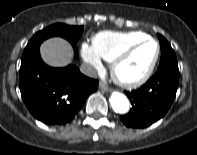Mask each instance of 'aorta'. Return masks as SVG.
Segmentation results:
<instances>
[{
	"label": "aorta",
	"instance_id": "1",
	"mask_svg": "<svg viewBox=\"0 0 197 155\" xmlns=\"http://www.w3.org/2000/svg\"><path fill=\"white\" fill-rule=\"evenodd\" d=\"M110 104L116 113L124 114L129 110V101L125 95L113 92L110 97Z\"/></svg>",
	"mask_w": 197,
	"mask_h": 155
}]
</instances>
